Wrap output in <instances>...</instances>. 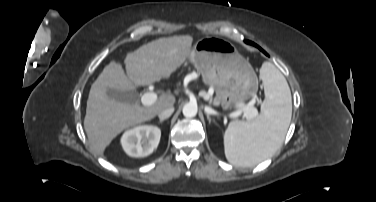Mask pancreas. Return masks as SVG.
<instances>
[{"label":"pancreas","instance_id":"1","mask_svg":"<svg viewBox=\"0 0 376 202\" xmlns=\"http://www.w3.org/2000/svg\"><path fill=\"white\" fill-rule=\"evenodd\" d=\"M201 95L203 96V98H204L205 100H210V101H212L211 97H210L207 93L202 92ZM213 104H214L215 106H217V105L219 104L218 100L215 99V100L213 101ZM237 106H238V107H239V108H240L245 114H248V112H247V110H246V107H245L244 105H242V102L238 103Z\"/></svg>","mask_w":376,"mask_h":202}]
</instances>
